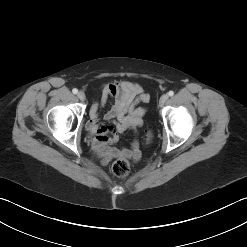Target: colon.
<instances>
[{
    "mask_svg": "<svg viewBox=\"0 0 247 247\" xmlns=\"http://www.w3.org/2000/svg\"><path fill=\"white\" fill-rule=\"evenodd\" d=\"M147 143H150L152 140V133L148 132L145 136ZM130 163L127 159L121 158L115 161L112 165V172L117 177H124L129 173Z\"/></svg>",
    "mask_w": 247,
    "mask_h": 247,
    "instance_id": "5ec220e1",
    "label": "colon"
}]
</instances>
